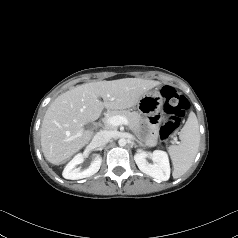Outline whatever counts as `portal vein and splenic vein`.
Here are the masks:
<instances>
[{"instance_id": "1", "label": "portal vein and splenic vein", "mask_w": 238, "mask_h": 238, "mask_svg": "<svg viewBox=\"0 0 238 238\" xmlns=\"http://www.w3.org/2000/svg\"><path fill=\"white\" fill-rule=\"evenodd\" d=\"M107 124L113 127L119 125H128V120L123 116H112L107 119Z\"/></svg>"}]
</instances>
